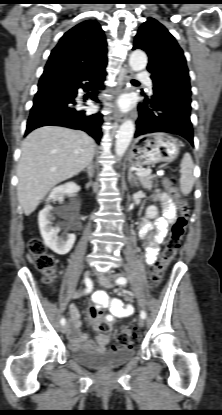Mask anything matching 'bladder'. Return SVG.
Wrapping results in <instances>:
<instances>
[{
  "label": "bladder",
  "instance_id": "31cf9c89",
  "mask_svg": "<svg viewBox=\"0 0 222 415\" xmlns=\"http://www.w3.org/2000/svg\"><path fill=\"white\" fill-rule=\"evenodd\" d=\"M70 358L80 365L91 368H114L125 365L135 357L133 347H121L103 351L70 348Z\"/></svg>",
  "mask_w": 222,
  "mask_h": 415
}]
</instances>
